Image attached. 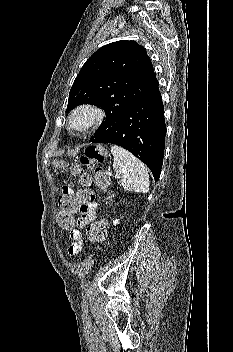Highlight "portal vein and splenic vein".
<instances>
[{
  "instance_id": "18ae733b",
  "label": "portal vein and splenic vein",
  "mask_w": 233,
  "mask_h": 352,
  "mask_svg": "<svg viewBox=\"0 0 233 352\" xmlns=\"http://www.w3.org/2000/svg\"><path fill=\"white\" fill-rule=\"evenodd\" d=\"M115 178H119V175H115Z\"/></svg>"
}]
</instances>
